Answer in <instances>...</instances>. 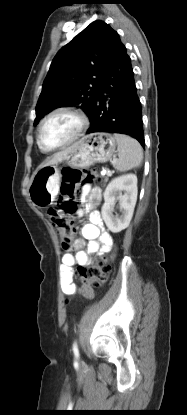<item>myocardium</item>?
<instances>
[{
    "mask_svg": "<svg viewBox=\"0 0 187 415\" xmlns=\"http://www.w3.org/2000/svg\"><path fill=\"white\" fill-rule=\"evenodd\" d=\"M58 113H69L74 115L78 121H79V126L77 131L75 132V134L73 135L72 138H70L68 141L58 145V146H47L43 143L42 138H41V132H42V128L45 124V122L47 120H49L51 117H53L54 115L58 114ZM88 126V119L85 116V114L80 111L79 109L72 107V106H59L56 107L54 109H52L50 112H48L39 122L38 128H37V142L39 144V146L46 150V151H55V150H59L62 148H65L71 144H73L75 141H77L82 134L84 133V131L86 130Z\"/></svg>",
    "mask_w": 187,
    "mask_h": 415,
    "instance_id": "myocardium-1",
    "label": "myocardium"
}]
</instances>
